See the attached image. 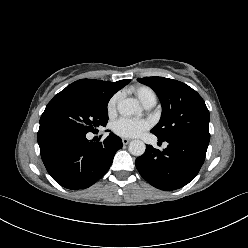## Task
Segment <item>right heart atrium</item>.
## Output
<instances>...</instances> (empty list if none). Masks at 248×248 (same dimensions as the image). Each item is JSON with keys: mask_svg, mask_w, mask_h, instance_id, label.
Here are the masks:
<instances>
[{"mask_svg": "<svg viewBox=\"0 0 248 248\" xmlns=\"http://www.w3.org/2000/svg\"><path fill=\"white\" fill-rule=\"evenodd\" d=\"M120 95L114 94L107 102L106 111L109 116H113L116 113L117 103Z\"/></svg>", "mask_w": 248, "mask_h": 248, "instance_id": "1", "label": "right heart atrium"}]
</instances>
